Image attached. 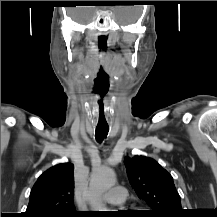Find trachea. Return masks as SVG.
Listing matches in <instances>:
<instances>
[{
  "label": "trachea",
  "mask_w": 217,
  "mask_h": 217,
  "mask_svg": "<svg viewBox=\"0 0 217 217\" xmlns=\"http://www.w3.org/2000/svg\"><path fill=\"white\" fill-rule=\"evenodd\" d=\"M108 131H109L108 127H100V126L96 127L95 138H96V140H97L98 143H101L104 140V138L108 134Z\"/></svg>",
  "instance_id": "1"
}]
</instances>
